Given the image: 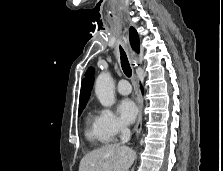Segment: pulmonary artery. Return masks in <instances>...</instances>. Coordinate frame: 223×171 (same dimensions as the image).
<instances>
[{
	"mask_svg": "<svg viewBox=\"0 0 223 171\" xmlns=\"http://www.w3.org/2000/svg\"><path fill=\"white\" fill-rule=\"evenodd\" d=\"M117 91L121 94V95H128L131 93L132 91V88L129 84V82L125 79H121L119 82H118V85H117Z\"/></svg>",
	"mask_w": 223,
	"mask_h": 171,
	"instance_id": "1",
	"label": "pulmonary artery"
}]
</instances>
